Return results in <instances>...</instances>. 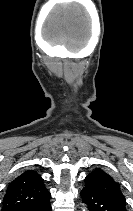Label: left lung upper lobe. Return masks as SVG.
I'll return each instance as SVG.
<instances>
[{"mask_svg":"<svg viewBox=\"0 0 133 211\" xmlns=\"http://www.w3.org/2000/svg\"><path fill=\"white\" fill-rule=\"evenodd\" d=\"M85 187L125 201L120 185L102 169L96 168L85 178Z\"/></svg>","mask_w":133,"mask_h":211,"instance_id":"1","label":"left lung upper lobe"}]
</instances>
